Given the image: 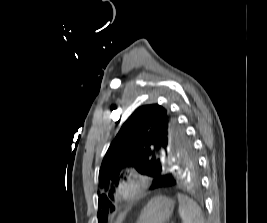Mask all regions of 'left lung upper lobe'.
Here are the masks:
<instances>
[{"label": "left lung upper lobe", "instance_id": "obj_1", "mask_svg": "<svg viewBox=\"0 0 267 223\" xmlns=\"http://www.w3.org/2000/svg\"><path fill=\"white\" fill-rule=\"evenodd\" d=\"M153 177L169 171H198L193 145L172 112L158 104L137 108L112 141L99 171L98 223L114 210L109 201L126 171Z\"/></svg>", "mask_w": 267, "mask_h": 223}]
</instances>
